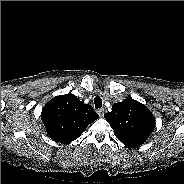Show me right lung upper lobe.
Here are the masks:
<instances>
[{
	"instance_id": "right-lung-upper-lobe-1",
	"label": "right lung upper lobe",
	"mask_w": 184,
	"mask_h": 184,
	"mask_svg": "<svg viewBox=\"0 0 184 184\" xmlns=\"http://www.w3.org/2000/svg\"><path fill=\"white\" fill-rule=\"evenodd\" d=\"M99 118L91 105L84 104L73 94L56 96L42 109L41 119L50 138L69 143Z\"/></svg>"
}]
</instances>
